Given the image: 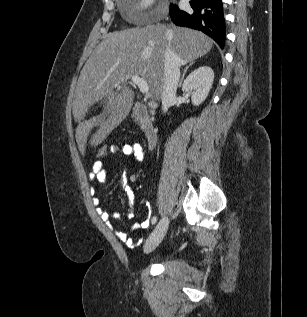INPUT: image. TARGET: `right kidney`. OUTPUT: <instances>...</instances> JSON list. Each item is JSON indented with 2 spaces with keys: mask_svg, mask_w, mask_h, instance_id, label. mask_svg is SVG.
<instances>
[{
  "mask_svg": "<svg viewBox=\"0 0 307 317\" xmlns=\"http://www.w3.org/2000/svg\"><path fill=\"white\" fill-rule=\"evenodd\" d=\"M214 80L209 66H202L191 72L182 85V91L191 95L192 104L199 106L208 96Z\"/></svg>",
  "mask_w": 307,
  "mask_h": 317,
  "instance_id": "ca27d5eb",
  "label": "right kidney"
}]
</instances>
